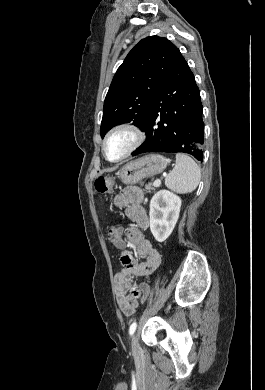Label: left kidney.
<instances>
[{
	"mask_svg": "<svg viewBox=\"0 0 265 390\" xmlns=\"http://www.w3.org/2000/svg\"><path fill=\"white\" fill-rule=\"evenodd\" d=\"M181 198L168 190H160L150 201V230L158 242L172 233L179 218Z\"/></svg>",
	"mask_w": 265,
	"mask_h": 390,
	"instance_id": "1",
	"label": "left kidney"
}]
</instances>
